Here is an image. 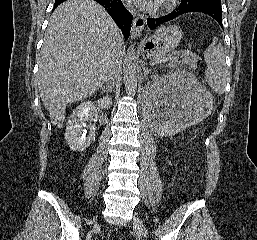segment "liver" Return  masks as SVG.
I'll return each instance as SVG.
<instances>
[{"label":"liver","mask_w":257,"mask_h":240,"mask_svg":"<svg viewBox=\"0 0 257 240\" xmlns=\"http://www.w3.org/2000/svg\"><path fill=\"white\" fill-rule=\"evenodd\" d=\"M119 29L94 0H67L51 15L41 48L38 88L52 118L105 82ZM124 45H119L122 55Z\"/></svg>","instance_id":"liver-1"}]
</instances>
